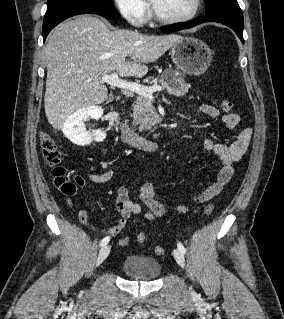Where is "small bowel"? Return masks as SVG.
Instances as JSON below:
<instances>
[{"instance_id": "small-bowel-1", "label": "small bowel", "mask_w": 284, "mask_h": 319, "mask_svg": "<svg viewBox=\"0 0 284 319\" xmlns=\"http://www.w3.org/2000/svg\"><path fill=\"white\" fill-rule=\"evenodd\" d=\"M202 113L209 117H219L220 111L209 104L200 106ZM222 122L228 129H235L240 123V116L236 113H228L222 115ZM252 130L243 128L236 135L235 140L231 144H219L207 139L203 142L204 150L212 152L220 162V170L217 174L216 181L210 184L205 190L193 194V199L197 203H203L217 197L223 190L224 186L230 181L234 173V163L239 161L248 149L251 141ZM111 173L105 171L102 173H90L89 179L96 183H103L110 178ZM139 196L142 204L147 208L145 210L142 205L133 202L128 194L127 188L121 186L117 190L116 208L120 218L115 226L103 233L109 236H115L120 233L126 226L128 219L132 215H140L146 220L152 221L157 217L165 215L169 211L178 214L187 212L184 206H178L173 209L167 208L162 202V194L158 192L150 183H144L139 189ZM71 204V201L68 200ZM80 222L84 225H89L88 212L79 208L77 211ZM108 236V237H109Z\"/></svg>"}]
</instances>
